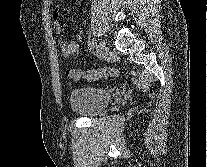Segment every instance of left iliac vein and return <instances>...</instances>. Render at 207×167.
<instances>
[{
    "label": "left iliac vein",
    "instance_id": "left-iliac-vein-1",
    "mask_svg": "<svg viewBox=\"0 0 207 167\" xmlns=\"http://www.w3.org/2000/svg\"><path fill=\"white\" fill-rule=\"evenodd\" d=\"M109 47L105 39H102L98 45V56L100 58L106 57L108 54Z\"/></svg>",
    "mask_w": 207,
    "mask_h": 167
}]
</instances>
